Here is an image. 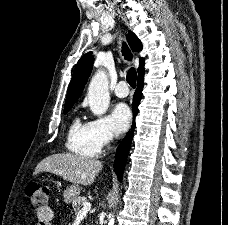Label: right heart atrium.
Listing matches in <instances>:
<instances>
[{"mask_svg": "<svg viewBox=\"0 0 228 225\" xmlns=\"http://www.w3.org/2000/svg\"><path fill=\"white\" fill-rule=\"evenodd\" d=\"M90 132L100 148L106 147L115 139V132L107 117H97L87 123Z\"/></svg>", "mask_w": 228, "mask_h": 225, "instance_id": "d8ad5b80", "label": "right heart atrium"}]
</instances>
